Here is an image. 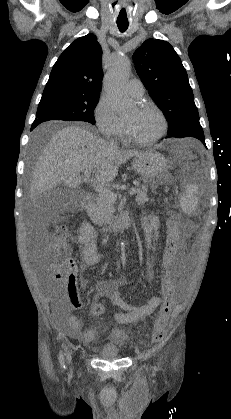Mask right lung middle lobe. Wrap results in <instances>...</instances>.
I'll return each instance as SVG.
<instances>
[{"label": "right lung middle lobe", "mask_w": 231, "mask_h": 419, "mask_svg": "<svg viewBox=\"0 0 231 419\" xmlns=\"http://www.w3.org/2000/svg\"><path fill=\"white\" fill-rule=\"evenodd\" d=\"M99 96V93H85L70 88L46 87L33 124L39 125L54 119L95 124L93 110Z\"/></svg>", "instance_id": "obj_1"}]
</instances>
